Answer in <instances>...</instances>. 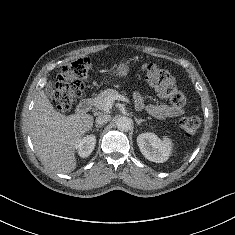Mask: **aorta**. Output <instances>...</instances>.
<instances>
[{"mask_svg":"<svg viewBox=\"0 0 235 235\" xmlns=\"http://www.w3.org/2000/svg\"><path fill=\"white\" fill-rule=\"evenodd\" d=\"M116 125L120 131H128L131 128L132 122L128 117L122 116L117 119Z\"/></svg>","mask_w":235,"mask_h":235,"instance_id":"aorta-1","label":"aorta"}]
</instances>
